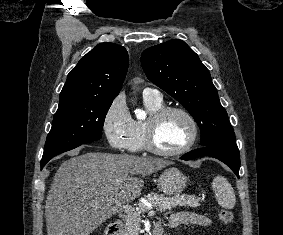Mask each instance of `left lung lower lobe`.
I'll list each match as a JSON object with an SVG mask.
<instances>
[{
	"instance_id": "left-lung-lower-lobe-1",
	"label": "left lung lower lobe",
	"mask_w": 283,
	"mask_h": 235,
	"mask_svg": "<svg viewBox=\"0 0 283 235\" xmlns=\"http://www.w3.org/2000/svg\"><path fill=\"white\" fill-rule=\"evenodd\" d=\"M202 156L214 157L226 165L239 177L240 154L236 143L214 144L205 146L201 149H195L184 154L181 160H192Z\"/></svg>"
}]
</instances>
